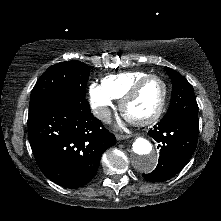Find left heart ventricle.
Segmentation results:
<instances>
[{"instance_id": "1", "label": "left heart ventricle", "mask_w": 221, "mask_h": 221, "mask_svg": "<svg viewBox=\"0 0 221 221\" xmlns=\"http://www.w3.org/2000/svg\"><path fill=\"white\" fill-rule=\"evenodd\" d=\"M162 85L156 80L148 81L132 99L126 108L127 114L133 118H145L153 114L162 98Z\"/></svg>"}]
</instances>
